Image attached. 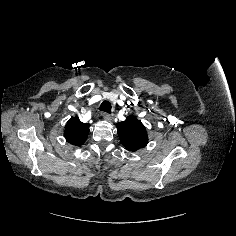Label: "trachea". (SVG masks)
<instances>
[{
	"label": "trachea",
	"mask_w": 236,
	"mask_h": 236,
	"mask_svg": "<svg viewBox=\"0 0 236 236\" xmlns=\"http://www.w3.org/2000/svg\"><path fill=\"white\" fill-rule=\"evenodd\" d=\"M100 111L106 112V113H111V104L109 101H103L99 107Z\"/></svg>",
	"instance_id": "3493384b"
}]
</instances>
